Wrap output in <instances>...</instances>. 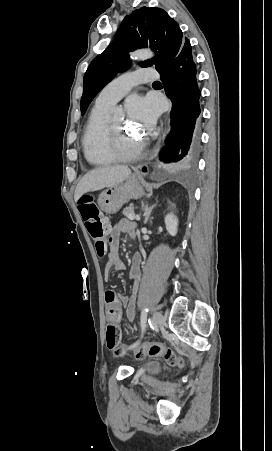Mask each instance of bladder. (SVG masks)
<instances>
[{"mask_svg":"<svg viewBox=\"0 0 272 451\" xmlns=\"http://www.w3.org/2000/svg\"><path fill=\"white\" fill-rule=\"evenodd\" d=\"M147 366L145 367V370L147 371H155L156 367H157V362L156 361H147L145 363Z\"/></svg>","mask_w":272,"mask_h":451,"instance_id":"31cf9c89","label":"bladder"}]
</instances>
